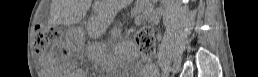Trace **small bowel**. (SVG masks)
I'll use <instances>...</instances> for the list:
<instances>
[{"mask_svg": "<svg viewBox=\"0 0 258 77\" xmlns=\"http://www.w3.org/2000/svg\"><path fill=\"white\" fill-rule=\"evenodd\" d=\"M143 73L146 74L147 76H149V75L154 74L155 71L151 70V68H149V67H144Z\"/></svg>", "mask_w": 258, "mask_h": 77, "instance_id": "small-bowel-1", "label": "small bowel"}]
</instances>
